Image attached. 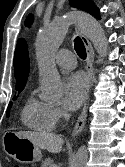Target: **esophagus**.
I'll return each instance as SVG.
<instances>
[{"instance_id": "34e87169", "label": "esophagus", "mask_w": 125, "mask_h": 167, "mask_svg": "<svg viewBox=\"0 0 125 167\" xmlns=\"http://www.w3.org/2000/svg\"><path fill=\"white\" fill-rule=\"evenodd\" d=\"M78 34L80 35L81 40L84 43V46L86 48V53H87V59H86V72L87 76L89 78V89H88V95H87V101L84 105V108L74 126L72 136H77L81 133V131L84 128L86 117H87V106H88V101H89V94H90V89L92 87V75H93V63H94V51L92 48L91 43L87 39V37L80 31L78 30Z\"/></svg>"}]
</instances>
